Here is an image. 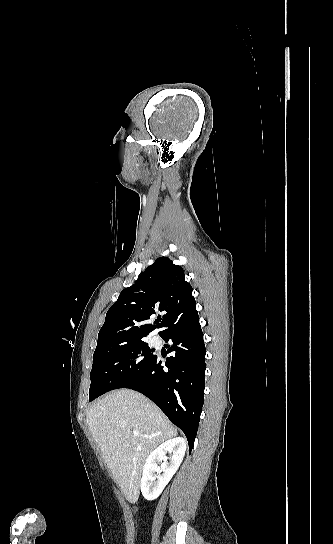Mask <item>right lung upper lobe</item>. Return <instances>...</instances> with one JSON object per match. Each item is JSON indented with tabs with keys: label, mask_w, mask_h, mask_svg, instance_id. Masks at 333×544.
Segmentation results:
<instances>
[{
	"label": "right lung upper lobe",
	"mask_w": 333,
	"mask_h": 544,
	"mask_svg": "<svg viewBox=\"0 0 333 544\" xmlns=\"http://www.w3.org/2000/svg\"><path fill=\"white\" fill-rule=\"evenodd\" d=\"M192 287L183 268L167 257L157 258L136 282L121 291L110 307L98 334L97 347L108 342L142 339L155 328L162 334L172 325L197 313ZM164 311L159 325L147 323L152 314Z\"/></svg>",
	"instance_id": "obj_1"
}]
</instances>
